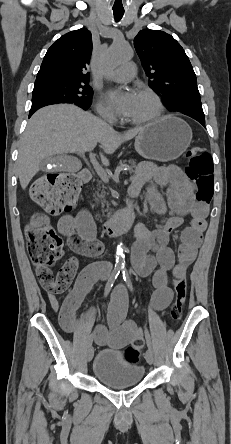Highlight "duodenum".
Masks as SVG:
<instances>
[{"label":"duodenum","instance_id":"obj_1","mask_svg":"<svg viewBox=\"0 0 231 444\" xmlns=\"http://www.w3.org/2000/svg\"><path fill=\"white\" fill-rule=\"evenodd\" d=\"M79 177L83 182H89L92 178L90 169L88 167L83 168L79 172ZM135 225V212L132 208H129L116 218L104 222L101 229L107 237H114L119 233L134 228Z\"/></svg>","mask_w":231,"mask_h":444}]
</instances>
